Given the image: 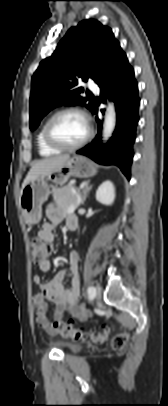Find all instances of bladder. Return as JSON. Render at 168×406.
I'll list each match as a JSON object with an SVG mask.
<instances>
[{"instance_id": "bladder-1", "label": "bladder", "mask_w": 168, "mask_h": 406, "mask_svg": "<svg viewBox=\"0 0 168 406\" xmlns=\"http://www.w3.org/2000/svg\"><path fill=\"white\" fill-rule=\"evenodd\" d=\"M67 349H68V351H69L70 353H78V352H80L81 347L78 346V345H69V346L67 347Z\"/></svg>"}]
</instances>
